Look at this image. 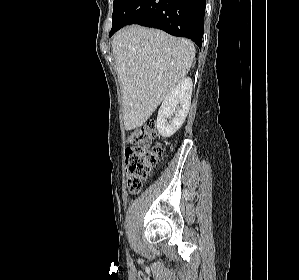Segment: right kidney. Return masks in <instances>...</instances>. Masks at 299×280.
<instances>
[{
  "label": "right kidney",
  "mask_w": 299,
  "mask_h": 280,
  "mask_svg": "<svg viewBox=\"0 0 299 280\" xmlns=\"http://www.w3.org/2000/svg\"><path fill=\"white\" fill-rule=\"evenodd\" d=\"M193 82L190 77L183 78L165 97L158 111L157 129L162 137H171L183 125L191 105ZM172 122H167L171 119Z\"/></svg>",
  "instance_id": "right-kidney-1"
}]
</instances>
